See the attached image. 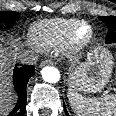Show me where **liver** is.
<instances>
[{
    "label": "liver",
    "instance_id": "6515ba94",
    "mask_svg": "<svg viewBox=\"0 0 116 116\" xmlns=\"http://www.w3.org/2000/svg\"><path fill=\"white\" fill-rule=\"evenodd\" d=\"M13 58L0 46V115L11 108L12 97L8 89V75Z\"/></svg>",
    "mask_w": 116,
    "mask_h": 116
}]
</instances>
